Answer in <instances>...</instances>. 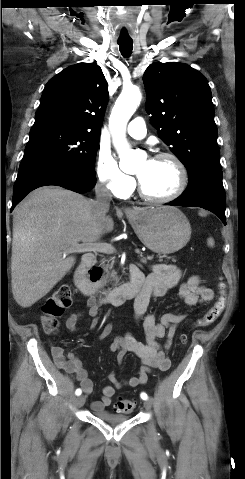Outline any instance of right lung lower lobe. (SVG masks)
Instances as JSON below:
<instances>
[{
	"instance_id": "1",
	"label": "right lung lower lobe",
	"mask_w": 245,
	"mask_h": 479,
	"mask_svg": "<svg viewBox=\"0 0 245 479\" xmlns=\"http://www.w3.org/2000/svg\"><path fill=\"white\" fill-rule=\"evenodd\" d=\"M96 183L95 175L76 168L42 164L20 170L14 184L12 208L32 190L47 185H56L77 193L90 191Z\"/></svg>"
}]
</instances>
